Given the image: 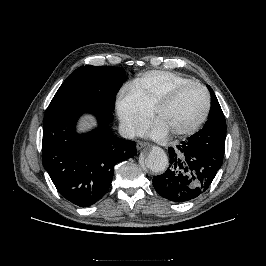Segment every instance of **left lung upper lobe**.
Returning <instances> with one entry per match:
<instances>
[{"label":"left lung upper lobe","instance_id":"left-lung-upper-lobe-1","mask_svg":"<svg viewBox=\"0 0 266 266\" xmlns=\"http://www.w3.org/2000/svg\"><path fill=\"white\" fill-rule=\"evenodd\" d=\"M212 99V107L208 121L203 129L195 133L187 142L190 146L205 151L213 157H224L226 137V121L220 104L210 86H207Z\"/></svg>","mask_w":266,"mask_h":266}]
</instances>
